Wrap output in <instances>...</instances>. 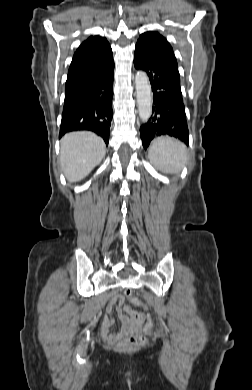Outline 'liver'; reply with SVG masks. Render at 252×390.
I'll return each mask as SVG.
<instances>
[{
	"instance_id": "obj_1",
	"label": "liver",
	"mask_w": 252,
	"mask_h": 390,
	"mask_svg": "<svg viewBox=\"0 0 252 390\" xmlns=\"http://www.w3.org/2000/svg\"><path fill=\"white\" fill-rule=\"evenodd\" d=\"M105 154L103 139L92 132H71L61 139L60 163L69 182L85 178Z\"/></svg>"
}]
</instances>
